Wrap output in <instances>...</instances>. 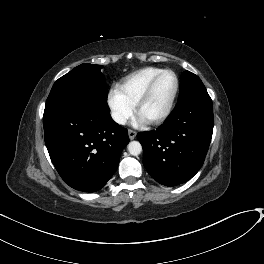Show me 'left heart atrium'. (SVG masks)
Returning <instances> with one entry per match:
<instances>
[{
  "instance_id": "left-heart-atrium-1",
  "label": "left heart atrium",
  "mask_w": 264,
  "mask_h": 264,
  "mask_svg": "<svg viewBox=\"0 0 264 264\" xmlns=\"http://www.w3.org/2000/svg\"><path fill=\"white\" fill-rule=\"evenodd\" d=\"M145 121H146V120H145L142 116L138 115V116L135 118V120H134V124L137 125V124H139V123H143V122H145Z\"/></svg>"
}]
</instances>
